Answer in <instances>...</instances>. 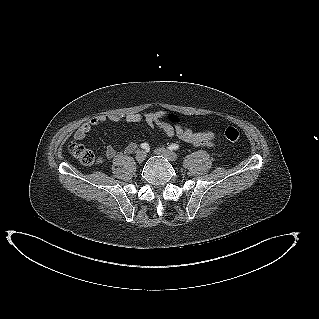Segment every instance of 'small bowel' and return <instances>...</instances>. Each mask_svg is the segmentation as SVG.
<instances>
[{
    "label": "small bowel",
    "instance_id": "c3829d8e",
    "mask_svg": "<svg viewBox=\"0 0 319 319\" xmlns=\"http://www.w3.org/2000/svg\"><path fill=\"white\" fill-rule=\"evenodd\" d=\"M171 113L163 110H158L154 112H147L145 114H129L125 117V120L128 123H138L144 120L146 124L150 127L160 128L168 137H177L181 141L191 144L193 146H214L215 134L211 131L205 132H194L187 123H179L175 126H172L169 123L163 122V118H167ZM122 119L120 115L112 114L109 116L100 115L94 118H91L89 121L81 125L74 133V138L76 140H83L87 134L95 126L110 120L112 122H119ZM136 149V143H128L122 153L131 154ZM118 154L117 150L113 146H108L105 149V152L102 156L98 158V163H103L106 160L113 159Z\"/></svg>",
    "mask_w": 319,
    "mask_h": 319
}]
</instances>
